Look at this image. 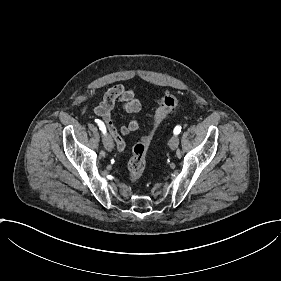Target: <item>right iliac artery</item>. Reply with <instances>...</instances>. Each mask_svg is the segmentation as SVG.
I'll use <instances>...</instances> for the list:
<instances>
[{
	"instance_id": "right-iliac-artery-1",
	"label": "right iliac artery",
	"mask_w": 281,
	"mask_h": 281,
	"mask_svg": "<svg viewBox=\"0 0 281 281\" xmlns=\"http://www.w3.org/2000/svg\"><path fill=\"white\" fill-rule=\"evenodd\" d=\"M95 122L98 124V126H99L100 130L103 132V134H105L106 127H105L104 123L99 119H95Z\"/></svg>"
}]
</instances>
